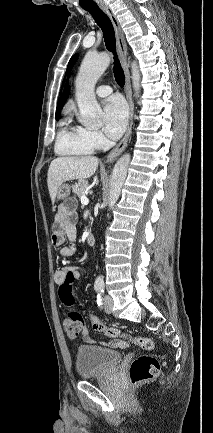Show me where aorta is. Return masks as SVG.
Returning a JSON list of instances; mask_svg holds the SVG:
<instances>
[{
    "label": "aorta",
    "instance_id": "1",
    "mask_svg": "<svg viewBox=\"0 0 213 433\" xmlns=\"http://www.w3.org/2000/svg\"><path fill=\"white\" fill-rule=\"evenodd\" d=\"M110 60V55L104 52L97 55L88 53L81 64L76 78V100L80 110V122L85 126L96 127L99 125L98 114L101 108L97 103L94 88L98 79L107 69ZM131 69L135 95L139 96L140 73L135 61L131 64ZM129 163L130 155L124 154L118 159L113 168L108 201L109 209L113 208L119 199L126 179ZM94 286L97 288L104 287V279L102 276L96 278Z\"/></svg>",
    "mask_w": 213,
    "mask_h": 433
}]
</instances>
